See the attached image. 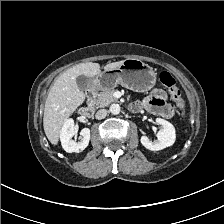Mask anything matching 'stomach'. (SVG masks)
Wrapping results in <instances>:
<instances>
[{
	"instance_id": "obj_1",
	"label": "stomach",
	"mask_w": 224,
	"mask_h": 224,
	"mask_svg": "<svg viewBox=\"0 0 224 224\" xmlns=\"http://www.w3.org/2000/svg\"><path fill=\"white\" fill-rule=\"evenodd\" d=\"M156 72L139 59L128 58L114 69L103 70L91 80L97 90L121 85L136 92L151 90L156 83Z\"/></svg>"
}]
</instances>
